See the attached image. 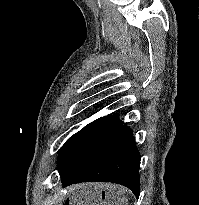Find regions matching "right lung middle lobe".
<instances>
[{"label":"right lung middle lobe","instance_id":"obj_1","mask_svg":"<svg viewBox=\"0 0 199 205\" xmlns=\"http://www.w3.org/2000/svg\"><path fill=\"white\" fill-rule=\"evenodd\" d=\"M123 122L117 118L101 117L70 137L59 152L57 170L62 173L74 161L102 144Z\"/></svg>","mask_w":199,"mask_h":205}]
</instances>
